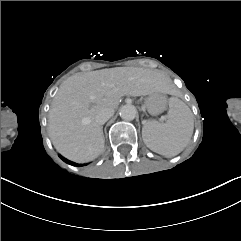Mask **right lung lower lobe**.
I'll return each instance as SVG.
<instances>
[{"instance_id":"98d812e1","label":"right lung lower lobe","mask_w":241,"mask_h":241,"mask_svg":"<svg viewBox=\"0 0 241 241\" xmlns=\"http://www.w3.org/2000/svg\"><path fill=\"white\" fill-rule=\"evenodd\" d=\"M60 158H61L63 161H65L66 163H68V164H71V165H74V166H82L81 164H76V163H74V162H72V161H69V160L63 158L62 156H60Z\"/></svg>"}]
</instances>
